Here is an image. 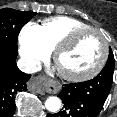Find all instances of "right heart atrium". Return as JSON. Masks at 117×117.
<instances>
[{
    "mask_svg": "<svg viewBox=\"0 0 117 117\" xmlns=\"http://www.w3.org/2000/svg\"><path fill=\"white\" fill-rule=\"evenodd\" d=\"M19 53L28 69H35L50 54V49L44 44L39 25L26 24L18 37Z\"/></svg>",
    "mask_w": 117,
    "mask_h": 117,
    "instance_id": "obj_1",
    "label": "right heart atrium"
}]
</instances>
